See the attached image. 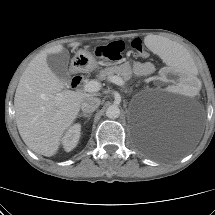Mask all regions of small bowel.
<instances>
[{"label":"small bowel","mask_w":215,"mask_h":215,"mask_svg":"<svg viewBox=\"0 0 215 215\" xmlns=\"http://www.w3.org/2000/svg\"><path fill=\"white\" fill-rule=\"evenodd\" d=\"M144 67H149L147 64H143Z\"/></svg>","instance_id":"small-bowel-1"}]
</instances>
